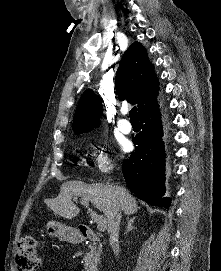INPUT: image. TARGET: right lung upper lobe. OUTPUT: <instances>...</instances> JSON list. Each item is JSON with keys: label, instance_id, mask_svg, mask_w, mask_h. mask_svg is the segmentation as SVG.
Segmentation results:
<instances>
[{"label": "right lung upper lobe", "instance_id": "1", "mask_svg": "<svg viewBox=\"0 0 221 271\" xmlns=\"http://www.w3.org/2000/svg\"><path fill=\"white\" fill-rule=\"evenodd\" d=\"M115 87L120 98L138 104L139 115L155 108L158 80L145 47L134 42L126 50L116 73ZM101 99L93 91L86 90L81 96L73 119L76 133L89 132L99 126L102 115Z\"/></svg>", "mask_w": 221, "mask_h": 271}]
</instances>
